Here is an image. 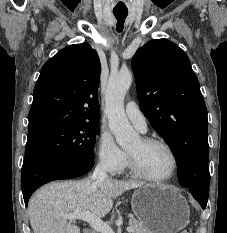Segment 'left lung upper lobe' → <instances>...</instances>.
<instances>
[{"label": "left lung upper lobe", "instance_id": "left-lung-upper-lobe-1", "mask_svg": "<svg viewBox=\"0 0 227 233\" xmlns=\"http://www.w3.org/2000/svg\"><path fill=\"white\" fill-rule=\"evenodd\" d=\"M132 68L141 111L170 146L181 185L208 194L207 109L189 58L169 40H151L137 50Z\"/></svg>", "mask_w": 227, "mask_h": 233}]
</instances>
